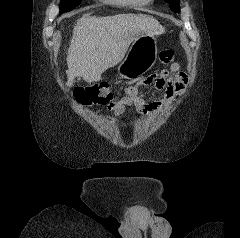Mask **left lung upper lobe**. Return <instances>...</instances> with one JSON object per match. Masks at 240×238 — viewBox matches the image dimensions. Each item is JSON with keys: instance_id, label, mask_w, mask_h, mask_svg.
I'll use <instances>...</instances> for the list:
<instances>
[{"instance_id": "5c2ea615", "label": "left lung upper lobe", "mask_w": 240, "mask_h": 238, "mask_svg": "<svg viewBox=\"0 0 240 238\" xmlns=\"http://www.w3.org/2000/svg\"><path fill=\"white\" fill-rule=\"evenodd\" d=\"M169 3L171 10L179 13L180 10V0H166Z\"/></svg>"}]
</instances>
